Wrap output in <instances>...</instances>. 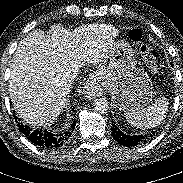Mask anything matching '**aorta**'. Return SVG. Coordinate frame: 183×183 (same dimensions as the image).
I'll list each match as a JSON object with an SVG mask.
<instances>
[{
	"mask_svg": "<svg viewBox=\"0 0 183 183\" xmlns=\"http://www.w3.org/2000/svg\"><path fill=\"white\" fill-rule=\"evenodd\" d=\"M94 110L104 114L109 110V102L105 98H97L93 102Z\"/></svg>",
	"mask_w": 183,
	"mask_h": 183,
	"instance_id": "aorta-1",
	"label": "aorta"
}]
</instances>
